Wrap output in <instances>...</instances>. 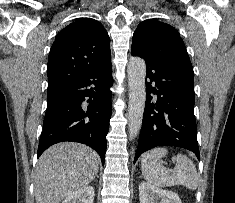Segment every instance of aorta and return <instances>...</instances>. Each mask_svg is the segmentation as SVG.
I'll return each mask as SVG.
<instances>
[{
    "label": "aorta",
    "instance_id": "aorta-1",
    "mask_svg": "<svg viewBox=\"0 0 235 203\" xmlns=\"http://www.w3.org/2000/svg\"><path fill=\"white\" fill-rule=\"evenodd\" d=\"M127 73L129 85L128 131L130 139H133L141 129L146 102L145 61L140 57H131Z\"/></svg>",
    "mask_w": 235,
    "mask_h": 203
}]
</instances>
